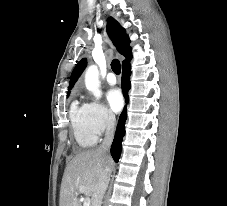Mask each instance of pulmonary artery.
I'll return each mask as SVG.
<instances>
[{"instance_id": "pulmonary-artery-1", "label": "pulmonary artery", "mask_w": 227, "mask_h": 206, "mask_svg": "<svg viewBox=\"0 0 227 206\" xmlns=\"http://www.w3.org/2000/svg\"><path fill=\"white\" fill-rule=\"evenodd\" d=\"M106 80L110 85H115L117 83V79L114 73L110 72L106 76Z\"/></svg>"}]
</instances>
